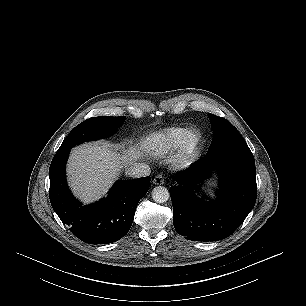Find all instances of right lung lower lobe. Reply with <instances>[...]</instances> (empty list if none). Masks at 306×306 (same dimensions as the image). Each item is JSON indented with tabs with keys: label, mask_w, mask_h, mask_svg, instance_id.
Returning <instances> with one entry per match:
<instances>
[{
	"label": "right lung lower lobe",
	"mask_w": 306,
	"mask_h": 306,
	"mask_svg": "<svg viewBox=\"0 0 306 306\" xmlns=\"http://www.w3.org/2000/svg\"><path fill=\"white\" fill-rule=\"evenodd\" d=\"M69 150L54 156L50 169V202L63 224L89 244H108L129 231L140 199L147 193L151 177L118 181L107 198L83 206L67 185L65 165Z\"/></svg>",
	"instance_id": "obj_1"
}]
</instances>
